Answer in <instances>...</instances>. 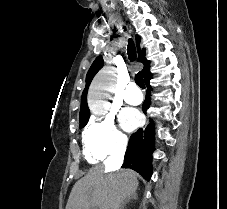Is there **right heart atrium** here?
Wrapping results in <instances>:
<instances>
[{"mask_svg": "<svg viewBox=\"0 0 227 209\" xmlns=\"http://www.w3.org/2000/svg\"><path fill=\"white\" fill-rule=\"evenodd\" d=\"M127 141V136L111 117L91 118L82 134L84 154L88 160L93 162L123 154Z\"/></svg>", "mask_w": 227, "mask_h": 209, "instance_id": "right-heart-atrium-1", "label": "right heart atrium"}]
</instances>
